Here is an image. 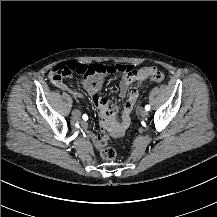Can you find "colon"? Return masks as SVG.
Masks as SVG:
<instances>
[{"label": "colon", "instance_id": "1", "mask_svg": "<svg viewBox=\"0 0 217 217\" xmlns=\"http://www.w3.org/2000/svg\"><path fill=\"white\" fill-rule=\"evenodd\" d=\"M157 69L156 67H146L141 74H149L151 71ZM141 69L134 68L130 64L117 63L112 65L100 64L98 61H92L89 65L79 64L74 59H67L59 61L55 66L49 69L48 79L51 82H60L63 79L68 78L71 74L89 76L97 73H132L138 74ZM154 82H160L164 78V74L159 71L153 77ZM98 145L100 146V157L103 160L111 161L115 159L116 152L114 148L106 147L108 137L103 130L97 133Z\"/></svg>", "mask_w": 217, "mask_h": 217}]
</instances>
